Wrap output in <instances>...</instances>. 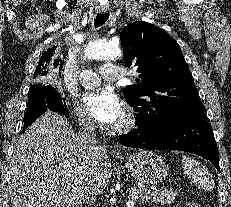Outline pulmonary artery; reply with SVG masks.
<instances>
[{
  "instance_id": "obj_1",
  "label": "pulmonary artery",
  "mask_w": 231,
  "mask_h": 207,
  "mask_svg": "<svg viewBox=\"0 0 231 207\" xmlns=\"http://www.w3.org/2000/svg\"><path fill=\"white\" fill-rule=\"evenodd\" d=\"M121 68L115 64H104L98 72L92 70H83L79 76V82L85 87H93L100 83L101 79L107 81H116L122 77Z\"/></svg>"
}]
</instances>
